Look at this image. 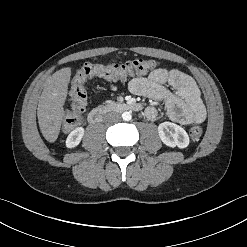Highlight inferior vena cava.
I'll return each mask as SVG.
<instances>
[{
	"mask_svg": "<svg viewBox=\"0 0 247 247\" xmlns=\"http://www.w3.org/2000/svg\"><path fill=\"white\" fill-rule=\"evenodd\" d=\"M106 122L115 123L120 120V116L117 113H108L105 115Z\"/></svg>",
	"mask_w": 247,
	"mask_h": 247,
	"instance_id": "obj_1",
	"label": "inferior vena cava"
}]
</instances>
